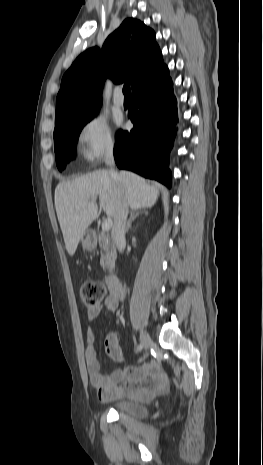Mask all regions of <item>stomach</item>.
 <instances>
[{
    "label": "stomach",
    "mask_w": 263,
    "mask_h": 465,
    "mask_svg": "<svg viewBox=\"0 0 263 465\" xmlns=\"http://www.w3.org/2000/svg\"><path fill=\"white\" fill-rule=\"evenodd\" d=\"M81 245L82 248L87 251L95 249L97 245L96 236L90 231L85 232L81 237Z\"/></svg>",
    "instance_id": "1"
}]
</instances>
